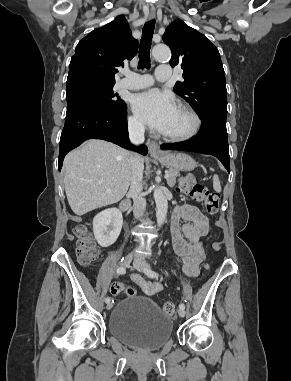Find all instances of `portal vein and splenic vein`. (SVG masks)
I'll return each mask as SVG.
<instances>
[{"label": "portal vein and splenic vein", "mask_w": 291, "mask_h": 381, "mask_svg": "<svg viewBox=\"0 0 291 381\" xmlns=\"http://www.w3.org/2000/svg\"><path fill=\"white\" fill-rule=\"evenodd\" d=\"M164 177H165V179H168L169 178V173H166Z\"/></svg>", "instance_id": "portal-vein-and-splenic-vein-1"}]
</instances>
